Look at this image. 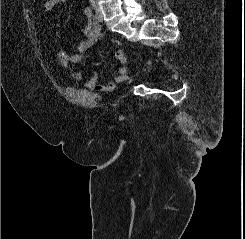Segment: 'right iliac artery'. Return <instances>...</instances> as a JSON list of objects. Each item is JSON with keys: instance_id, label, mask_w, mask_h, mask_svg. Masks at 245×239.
Wrapping results in <instances>:
<instances>
[{"instance_id": "right-iliac-artery-1", "label": "right iliac artery", "mask_w": 245, "mask_h": 239, "mask_svg": "<svg viewBox=\"0 0 245 239\" xmlns=\"http://www.w3.org/2000/svg\"><path fill=\"white\" fill-rule=\"evenodd\" d=\"M95 19L97 20V22L102 23V18L100 16H98L97 14H95Z\"/></svg>"}]
</instances>
